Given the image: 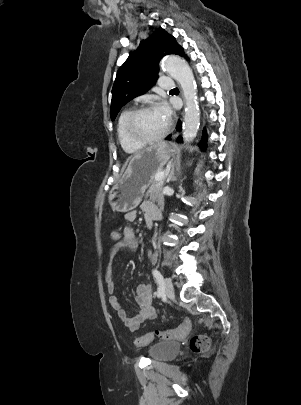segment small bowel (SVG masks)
<instances>
[{"label": "small bowel", "instance_id": "1", "mask_svg": "<svg viewBox=\"0 0 301 405\" xmlns=\"http://www.w3.org/2000/svg\"><path fill=\"white\" fill-rule=\"evenodd\" d=\"M139 212L143 213L146 221H157L161 218L160 208L151 201H144L138 210H132L125 214V219L128 222H133L137 219ZM118 242L113 244L110 254V265L106 271L105 282L107 290L110 294L109 304L117 312L120 320L130 330H136L142 323L155 318L157 309L153 304L152 287L149 284H140L137 288L135 301L139 307V312L135 316H129L122 308L118 297L115 295V282L113 278V261L115 257L123 250L135 251L138 247V241L133 229L126 226L121 234L119 232ZM151 262L155 261V256L152 252L149 253Z\"/></svg>", "mask_w": 301, "mask_h": 405}]
</instances>
